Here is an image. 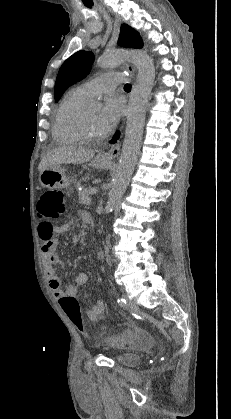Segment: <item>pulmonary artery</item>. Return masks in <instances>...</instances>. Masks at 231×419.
Instances as JSON below:
<instances>
[{
    "mask_svg": "<svg viewBox=\"0 0 231 419\" xmlns=\"http://www.w3.org/2000/svg\"><path fill=\"white\" fill-rule=\"evenodd\" d=\"M124 80L125 75L122 73H104L81 84L78 89L88 98H92L99 94L112 92Z\"/></svg>",
    "mask_w": 231,
    "mask_h": 419,
    "instance_id": "obj_1",
    "label": "pulmonary artery"
}]
</instances>
